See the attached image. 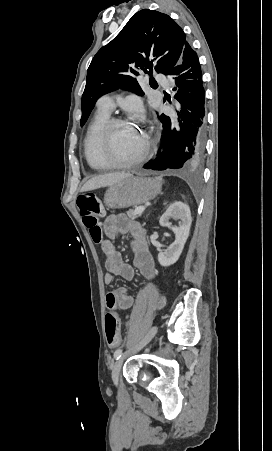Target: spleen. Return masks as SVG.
<instances>
[{
  "label": "spleen",
  "mask_w": 272,
  "mask_h": 451,
  "mask_svg": "<svg viewBox=\"0 0 272 451\" xmlns=\"http://www.w3.org/2000/svg\"><path fill=\"white\" fill-rule=\"evenodd\" d=\"M157 180H160V182H162V178H157Z\"/></svg>",
  "instance_id": "3e777b00"
}]
</instances>
